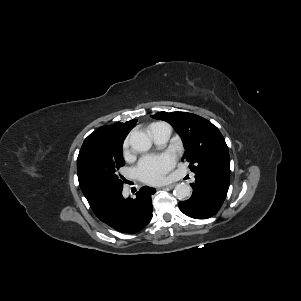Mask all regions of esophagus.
<instances>
[{
    "mask_svg": "<svg viewBox=\"0 0 301 301\" xmlns=\"http://www.w3.org/2000/svg\"><path fill=\"white\" fill-rule=\"evenodd\" d=\"M175 186V184H168V185H164V186H161L160 189H172L173 187Z\"/></svg>",
    "mask_w": 301,
    "mask_h": 301,
    "instance_id": "34e87169",
    "label": "esophagus"
}]
</instances>
